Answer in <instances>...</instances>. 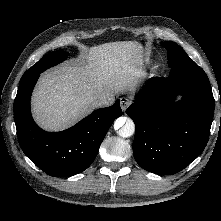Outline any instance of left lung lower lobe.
I'll list each match as a JSON object with an SVG mask.
<instances>
[{
  "label": "left lung lower lobe",
  "mask_w": 221,
  "mask_h": 221,
  "mask_svg": "<svg viewBox=\"0 0 221 221\" xmlns=\"http://www.w3.org/2000/svg\"><path fill=\"white\" fill-rule=\"evenodd\" d=\"M182 100L175 102V97ZM214 98L200 68L171 70L147 81L127 109L135 123L133 153L145 170L172 175L204 150L214 114Z\"/></svg>",
  "instance_id": "1"
}]
</instances>
